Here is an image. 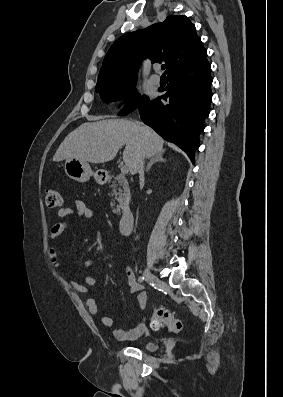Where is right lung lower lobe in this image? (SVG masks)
Returning <instances> with one entry per match:
<instances>
[{
    "instance_id": "right-lung-lower-lobe-1",
    "label": "right lung lower lobe",
    "mask_w": 283,
    "mask_h": 397,
    "mask_svg": "<svg viewBox=\"0 0 283 397\" xmlns=\"http://www.w3.org/2000/svg\"><path fill=\"white\" fill-rule=\"evenodd\" d=\"M167 75L166 94L140 105L141 119L164 139L178 145L194 162L199 134L210 112V64L204 58Z\"/></svg>"
}]
</instances>
